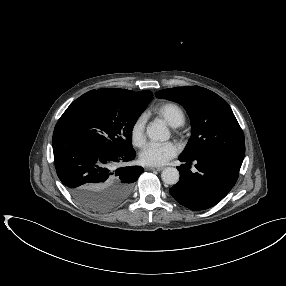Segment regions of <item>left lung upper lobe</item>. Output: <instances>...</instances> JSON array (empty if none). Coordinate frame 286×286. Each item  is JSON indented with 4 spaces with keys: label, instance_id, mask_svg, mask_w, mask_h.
Here are the masks:
<instances>
[{
    "label": "left lung upper lobe",
    "instance_id": "5c2ea615",
    "mask_svg": "<svg viewBox=\"0 0 286 286\" xmlns=\"http://www.w3.org/2000/svg\"><path fill=\"white\" fill-rule=\"evenodd\" d=\"M155 95L181 104L190 117L192 136L182 157L192 160L207 153H221L244 158L243 131L219 95L199 86L163 89Z\"/></svg>",
    "mask_w": 286,
    "mask_h": 286
}]
</instances>
